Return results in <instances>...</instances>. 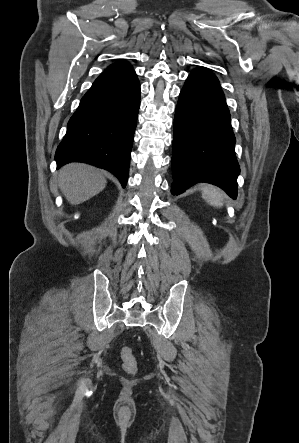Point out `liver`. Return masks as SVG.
<instances>
[{
  "label": "liver",
  "mask_w": 299,
  "mask_h": 443,
  "mask_svg": "<svg viewBox=\"0 0 299 443\" xmlns=\"http://www.w3.org/2000/svg\"><path fill=\"white\" fill-rule=\"evenodd\" d=\"M106 183L99 169L83 163L66 164L58 173V186L72 205L97 195L105 188Z\"/></svg>",
  "instance_id": "obj_1"
}]
</instances>
